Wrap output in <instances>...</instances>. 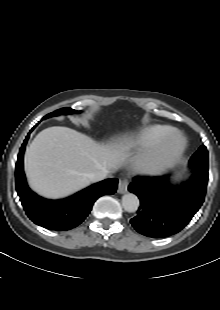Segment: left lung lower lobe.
Returning <instances> with one entry per match:
<instances>
[{
	"label": "left lung lower lobe",
	"mask_w": 220,
	"mask_h": 310,
	"mask_svg": "<svg viewBox=\"0 0 220 310\" xmlns=\"http://www.w3.org/2000/svg\"><path fill=\"white\" fill-rule=\"evenodd\" d=\"M207 181L205 170H192L191 178L179 183H174L171 175L134 178L128 190L138 196L140 207L130 220L132 226L154 238L178 233L201 207Z\"/></svg>",
	"instance_id": "left-lung-lower-lobe-1"
}]
</instances>
